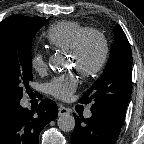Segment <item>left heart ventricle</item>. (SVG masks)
<instances>
[{
	"mask_svg": "<svg viewBox=\"0 0 144 144\" xmlns=\"http://www.w3.org/2000/svg\"><path fill=\"white\" fill-rule=\"evenodd\" d=\"M100 54H101L100 42L95 38L89 40V42L86 45L85 54L82 60L83 64L85 66H92L99 59ZM71 63L73 66H75L76 60L74 57H71Z\"/></svg>",
	"mask_w": 144,
	"mask_h": 144,
	"instance_id": "b2bd125f",
	"label": "left heart ventricle"
}]
</instances>
